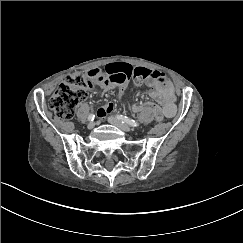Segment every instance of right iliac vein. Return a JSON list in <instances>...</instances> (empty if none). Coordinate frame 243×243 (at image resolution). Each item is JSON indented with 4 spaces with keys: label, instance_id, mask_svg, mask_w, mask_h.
<instances>
[{
    "label": "right iliac vein",
    "instance_id": "right-iliac-vein-1",
    "mask_svg": "<svg viewBox=\"0 0 243 243\" xmlns=\"http://www.w3.org/2000/svg\"><path fill=\"white\" fill-rule=\"evenodd\" d=\"M94 126H95V123L94 122H90V123H88L87 128L88 129H93Z\"/></svg>",
    "mask_w": 243,
    "mask_h": 243
}]
</instances>
